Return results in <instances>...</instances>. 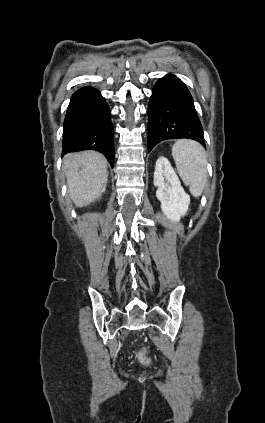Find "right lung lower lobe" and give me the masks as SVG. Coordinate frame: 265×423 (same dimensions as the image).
<instances>
[{
    "instance_id": "right-lung-lower-lobe-1",
    "label": "right lung lower lobe",
    "mask_w": 265,
    "mask_h": 423,
    "mask_svg": "<svg viewBox=\"0 0 265 423\" xmlns=\"http://www.w3.org/2000/svg\"><path fill=\"white\" fill-rule=\"evenodd\" d=\"M63 154L96 150L114 163L113 125L110 110L99 91L84 87L76 91L64 120Z\"/></svg>"
}]
</instances>
